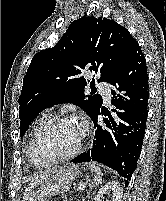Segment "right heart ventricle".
I'll list each match as a JSON object with an SVG mask.
<instances>
[{"label":"right heart ventricle","mask_w":166,"mask_h":201,"mask_svg":"<svg viewBox=\"0 0 166 201\" xmlns=\"http://www.w3.org/2000/svg\"><path fill=\"white\" fill-rule=\"evenodd\" d=\"M45 118H47V116H42V117L38 120V122H37V123L34 125V127H33L32 133H33L34 129L36 128V126H37L42 120H44ZM32 133H31V136H32ZM31 136H30V138H31ZM29 145H30V140H29V144H28V150H29Z\"/></svg>","instance_id":"right-heart-ventricle-1"}]
</instances>
